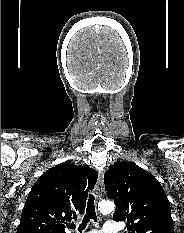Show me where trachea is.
Segmentation results:
<instances>
[{
    "label": "trachea",
    "mask_w": 184,
    "mask_h": 233,
    "mask_svg": "<svg viewBox=\"0 0 184 233\" xmlns=\"http://www.w3.org/2000/svg\"><path fill=\"white\" fill-rule=\"evenodd\" d=\"M95 196L91 194L89 196L88 202H87V208H86V214L81 222V224L78 227V231L81 233L83 229L86 228L88 222L92 219L96 222L97 216L95 212ZM72 229L76 228L75 224L70 225Z\"/></svg>",
    "instance_id": "trachea-1"
}]
</instances>
